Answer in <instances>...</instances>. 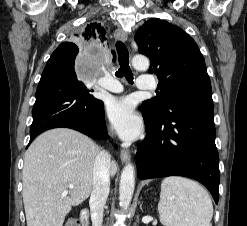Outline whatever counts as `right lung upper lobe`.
Wrapping results in <instances>:
<instances>
[{
  "mask_svg": "<svg viewBox=\"0 0 247 226\" xmlns=\"http://www.w3.org/2000/svg\"><path fill=\"white\" fill-rule=\"evenodd\" d=\"M85 44H101L106 40V29L97 22L88 24L82 32L77 35ZM55 51H64L69 55L76 57L78 54V47L71 42H64L58 46ZM115 60V53L112 52Z\"/></svg>",
  "mask_w": 247,
  "mask_h": 226,
  "instance_id": "cb5924a9",
  "label": "right lung upper lobe"
}]
</instances>
